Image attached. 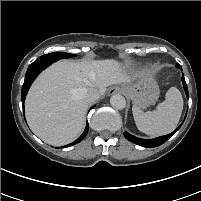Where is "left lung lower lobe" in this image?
Instances as JSON below:
<instances>
[{"label":"left lung lower lobe","mask_w":201,"mask_h":201,"mask_svg":"<svg viewBox=\"0 0 201 201\" xmlns=\"http://www.w3.org/2000/svg\"><path fill=\"white\" fill-rule=\"evenodd\" d=\"M176 67H178V68H180L182 70V68H181V66L179 64H177ZM182 82H183V85H184L186 95L188 97V89H187V85H186L184 76H182ZM180 127H181V125L179 127H177L172 133H170L168 135H165V136L155 138V139L137 138V137L129 134L128 132H124V136H125L126 139H128L129 141H131V142H133V143H135L137 145L147 147V148H153V147H157V146H160L163 143H165L169 138H171L178 131V129Z\"/></svg>","instance_id":"left-lung-lower-lobe-1"}]
</instances>
